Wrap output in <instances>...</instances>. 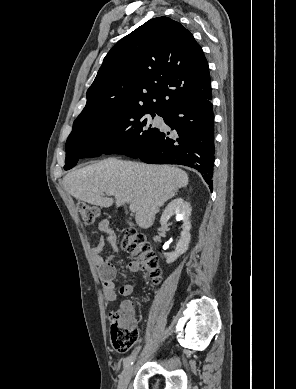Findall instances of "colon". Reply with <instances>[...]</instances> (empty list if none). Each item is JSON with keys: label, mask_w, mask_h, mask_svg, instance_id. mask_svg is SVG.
<instances>
[{"label": "colon", "mask_w": 296, "mask_h": 389, "mask_svg": "<svg viewBox=\"0 0 296 389\" xmlns=\"http://www.w3.org/2000/svg\"><path fill=\"white\" fill-rule=\"evenodd\" d=\"M77 209L82 220L89 225L94 224L99 216L98 209L85 202H79ZM121 246L141 265L147 281L153 284L161 281L158 259L143 234L132 230L126 231L121 240ZM110 321V337L113 347L119 352L128 351L138 336L131 310L119 309L112 312Z\"/></svg>", "instance_id": "1"}]
</instances>
